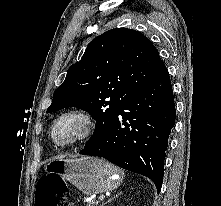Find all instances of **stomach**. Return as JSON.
Segmentation results:
<instances>
[{
    "instance_id": "0dacf381",
    "label": "stomach",
    "mask_w": 221,
    "mask_h": 206,
    "mask_svg": "<svg viewBox=\"0 0 221 206\" xmlns=\"http://www.w3.org/2000/svg\"><path fill=\"white\" fill-rule=\"evenodd\" d=\"M45 169L47 172L58 173L88 195L114 190L124 179L122 170L94 157L52 159Z\"/></svg>"
}]
</instances>
